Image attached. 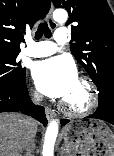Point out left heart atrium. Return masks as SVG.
Instances as JSON below:
<instances>
[{"mask_svg": "<svg viewBox=\"0 0 114 156\" xmlns=\"http://www.w3.org/2000/svg\"><path fill=\"white\" fill-rule=\"evenodd\" d=\"M32 77L37 89L49 96L65 100L78 79L74 62L66 56H56L36 62Z\"/></svg>", "mask_w": 114, "mask_h": 156, "instance_id": "obj_1", "label": "left heart atrium"}]
</instances>
